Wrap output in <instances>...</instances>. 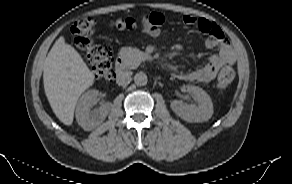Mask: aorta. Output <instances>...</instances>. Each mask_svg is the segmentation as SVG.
<instances>
[{
  "instance_id": "762f6f07",
  "label": "aorta",
  "mask_w": 292,
  "mask_h": 184,
  "mask_svg": "<svg viewBox=\"0 0 292 184\" xmlns=\"http://www.w3.org/2000/svg\"><path fill=\"white\" fill-rule=\"evenodd\" d=\"M147 82H148V77L144 72L140 71V72L135 74L134 83L137 86H144L147 84Z\"/></svg>"
}]
</instances>
